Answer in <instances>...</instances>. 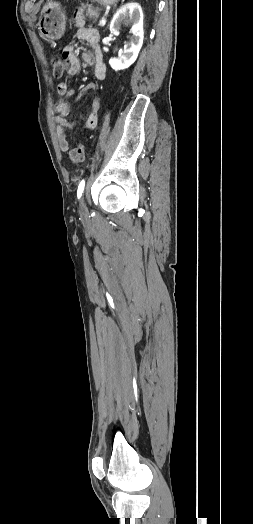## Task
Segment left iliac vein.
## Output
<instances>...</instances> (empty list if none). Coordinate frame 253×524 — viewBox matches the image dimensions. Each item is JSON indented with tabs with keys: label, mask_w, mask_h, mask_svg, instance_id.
I'll return each mask as SVG.
<instances>
[{
	"label": "left iliac vein",
	"mask_w": 253,
	"mask_h": 524,
	"mask_svg": "<svg viewBox=\"0 0 253 524\" xmlns=\"http://www.w3.org/2000/svg\"><path fill=\"white\" fill-rule=\"evenodd\" d=\"M79 205H80V213L81 214H86L87 213V207H86V204H85L83 198L80 200V204Z\"/></svg>",
	"instance_id": "1"
}]
</instances>
